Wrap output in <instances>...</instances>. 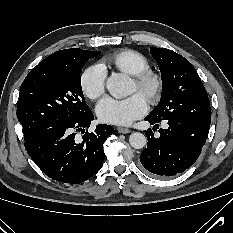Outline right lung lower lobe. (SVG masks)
<instances>
[{
  "instance_id": "obj_1",
  "label": "right lung lower lobe",
  "mask_w": 233,
  "mask_h": 233,
  "mask_svg": "<svg viewBox=\"0 0 233 233\" xmlns=\"http://www.w3.org/2000/svg\"><path fill=\"white\" fill-rule=\"evenodd\" d=\"M93 119L90 111L73 123L46 128L25 140V148L50 178L71 184L84 182L102 167L104 141L114 133L109 125H97L94 132L85 131ZM77 132L83 134L82 140L77 139Z\"/></svg>"
}]
</instances>
